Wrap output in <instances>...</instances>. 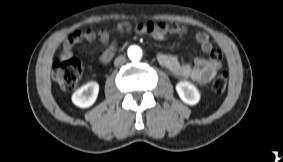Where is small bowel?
<instances>
[{
  "mask_svg": "<svg viewBox=\"0 0 283 162\" xmlns=\"http://www.w3.org/2000/svg\"><path fill=\"white\" fill-rule=\"evenodd\" d=\"M121 32L134 30L138 34H147L156 40H163L168 34L183 35L187 32L186 27L177 23H155L149 21L139 23L132 27L129 23L123 22L118 26ZM103 44H108L110 36L107 31L96 34L92 30L75 31L65 41L62 50L63 59L72 57L73 48L79 42L85 40L88 42L95 39ZM195 40L200 45L203 52L210 54L209 58L198 57L194 61V65L182 63L177 55L160 53L158 54L159 63L165 67L174 77L181 80H192L199 84H207L216 75L221 68L220 60L222 54L218 50H213L209 35L205 32H197ZM114 54V46L109 45L101 55V65L107 66L111 62Z\"/></svg>",
  "mask_w": 283,
  "mask_h": 162,
  "instance_id": "obj_1",
  "label": "small bowel"
}]
</instances>
